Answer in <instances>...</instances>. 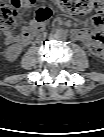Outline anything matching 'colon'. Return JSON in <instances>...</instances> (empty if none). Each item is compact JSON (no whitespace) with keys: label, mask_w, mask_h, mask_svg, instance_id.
I'll use <instances>...</instances> for the list:
<instances>
[{"label":"colon","mask_w":104,"mask_h":137,"mask_svg":"<svg viewBox=\"0 0 104 137\" xmlns=\"http://www.w3.org/2000/svg\"><path fill=\"white\" fill-rule=\"evenodd\" d=\"M37 2L43 5L36 11V21L45 24L52 17L53 12L64 14H79L85 12L101 13L104 10V0H11L0 8V23L4 32L19 28L23 22L24 12L34 7ZM102 19H93L92 37L96 41L93 45L95 52H102L103 39Z\"/></svg>","instance_id":"colon-1"}]
</instances>
